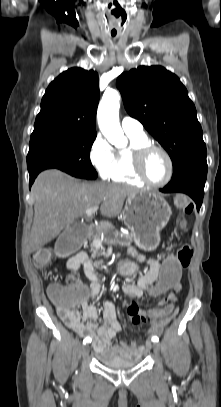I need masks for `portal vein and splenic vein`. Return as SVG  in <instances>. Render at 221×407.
<instances>
[{"label":"portal vein and splenic vein","mask_w":221,"mask_h":407,"mask_svg":"<svg viewBox=\"0 0 221 407\" xmlns=\"http://www.w3.org/2000/svg\"><path fill=\"white\" fill-rule=\"evenodd\" d=\"M98 208H99V206L96 205V206L88 209L86 212L87 217H91L98 210Z\"/></svg>","instance_id":"18ae733b"}]
</instances>
